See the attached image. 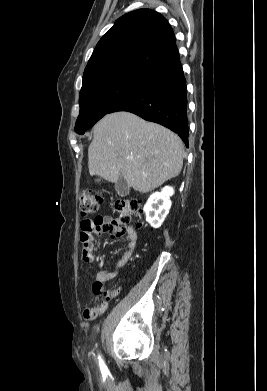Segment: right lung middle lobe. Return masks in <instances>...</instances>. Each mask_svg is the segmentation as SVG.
<instances>
[{
    "instance_id": "1",
    "label": "right lung middle lobe",
    "mask_w": 267,
    "mask_h": 391,
    "mask_svg": "<svg viewBox=\"0 0 267 391\" xmlns=\"http://www.w3.org/2000/svg\"><path fill=\"white\" fill-rule=\"evenodd\" d=\"M148 77L149 74L118 71L99 75L82 84L80 113L75 131L84 134L115 105L139 88Z\"/></svg>"
}]
</instances>
